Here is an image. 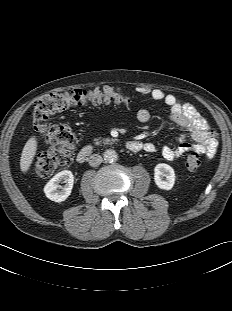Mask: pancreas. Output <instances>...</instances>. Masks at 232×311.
I'll return each instance as SVG.
<instances>
[{"instance_id":"obj_1","label":"pancreas","mask_w":232,"mask_h":311,"mask_svg":"<svg viewBox=\"0 0 232 311\" xmlns=\"http://www.w3.org/2000/svg\"><path fill=\"white\" fill-rule=\"evenodd\" d=\"M114 142H116V139H113V138H106V139H102V140H100V138H95L94 139V144H96V145H100L101 143H104V144H108V143H110V144H112V143H114Z\"/></svg>"}]
</instances>
